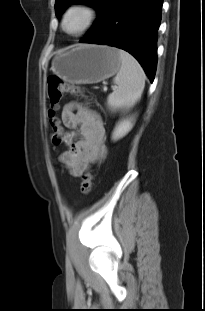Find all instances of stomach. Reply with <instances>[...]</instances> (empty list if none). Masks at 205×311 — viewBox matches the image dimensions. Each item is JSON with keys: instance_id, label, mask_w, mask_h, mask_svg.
<instances>
[{"instance_id": "obj_1", "label": "stomach", "mask_w": 205, "mask_h": 311, "mask_svg": "<svg viewBox=\"0 0 205 311\" xmlns=\"http://www.w3.org/2000/svg\"><path fill=\"white\" fill-rule=\"evenodd\" d=\"M119 50L106 45H79L58 53L51 70L73 84H94L116 74L120 69Z\"/></svg>"}]
</instances>
